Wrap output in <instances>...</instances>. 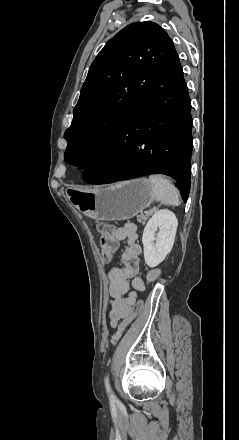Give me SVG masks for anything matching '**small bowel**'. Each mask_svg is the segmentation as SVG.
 Here are the masks:
<instances>
[{
  "label": "small bowel",
  "mask_w": 239,
  "mask_h": 440,
  "mask_svg": "<svg viewBox=\"0 0 239 440\" xmlns=\"http://www.w3.org/2000/svg\"><path fill=\"white\" fill-rule=\"evenodd\" d=\"M116 245L109 258L114 260L119 241L125 240L126 246L122 254V265L112 263L108 270L109 295L111 297L108 317L111 327H116L120 319L127 317L136 301L135 291H142L145 282L138 277L139 260L142 254L141 246L137 243V227L127 224L115 231Z\"/></svg>",
  "instance_id": "small-bowel-1"
}]
</instances>
